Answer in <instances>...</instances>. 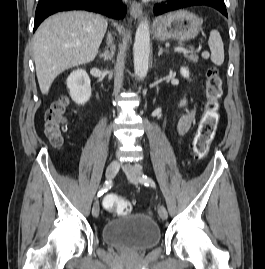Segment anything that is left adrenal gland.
Returning <instances> with one entry per match:
<instances>
[{
  "label": "left adrenal gland",
  "mask_w": 265,
  "mask_h": 269,
  "mask_svg": "<svg viewBox=\"0 0 265 269\" xmlns=\"http://www.w3.org/2000/svg\"><path fill=\"white\" fill-rule=\"evenodd\" d=\"M158 48H159L158 56H161L163 52L167 51V49H163L160 45L158 46Z\"/></svg>",
  "instance_id": "1"
}]
</instances>
